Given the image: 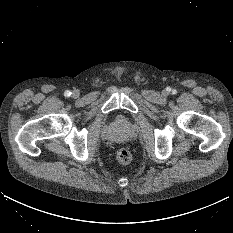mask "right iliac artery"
Here are the masks:
<instances>
[{"label":"right iliac artery","instance_id":"82829eb1","mask_svg":"<svg viewBox=\"0 0 233 233\" xmlns=\"http://www.w3.org/2000/svg\"><path fill=\"white\" fill-rule=\"evenodd\" d=\"M64 95H65L66 97H69V96L71 95V92H70L69 90H66L65 93H64Z\"/></svg>","mask_w":233,"mask_h":233}]
</instances>
